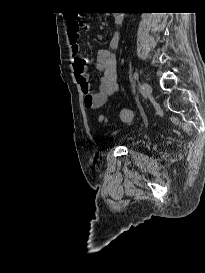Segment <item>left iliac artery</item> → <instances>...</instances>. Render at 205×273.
I'll return each mask as SVG.
<instances>
[{
  "mask_svg": "<svg viewBox=\"0 0 205 273\" xmlns=\"http://www.w3.org/2000/svg\"><path fill=\"white\" fill-rule=\"evenodd\" d=\"M133 77L135 80L139 79V73L137 71L134 72Z\"/></svg>",
  "mask_w": 205,
  "mask_h": 273,
  "instance_id": "left-iliac-artery-1",
  "label": "left iliac artery"
}]
</instances>
